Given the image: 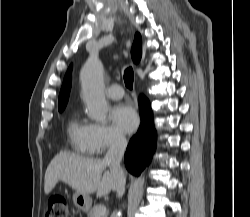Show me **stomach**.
I'll return each instance as SVG.
<instances>
[{
    "label": "stomach",
    "instance_id": "stomach-1",
    "mask_svg": "<svg viewBox=\"0 0 250 217\" xmlns=\"http://www.w3.org/2000/svg\"><path fill=\"white\" fill-rule=\"evenodd\" d=\"M73 202L78 209L82 210L83 212H88L92 205V198L89 194L76 192L73 195Z\"/></svg>",
    "mask_w": 250,
    "mask_h": 217
}]
</instances>
